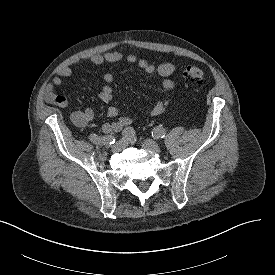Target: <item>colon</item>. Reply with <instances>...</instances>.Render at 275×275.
Listing matches in <instances>:
<instances>
[{"mask_svg": "<svg viewBox=\"0 0 275 275\" xmlns=\"http://www.w3.org/2000/svg\"><path fill=\"white\" fill-rule=\"evenodd\" d=\"M183 74L186 78H188L191 82L196 84H204L208 82L209 76L207 70L195 66V65H187L183 68Z\"/></svg>", "mask_w": 275, "mask_h": 275, "instance_id": "obj_1", "label": "colon"}]
</instances>
